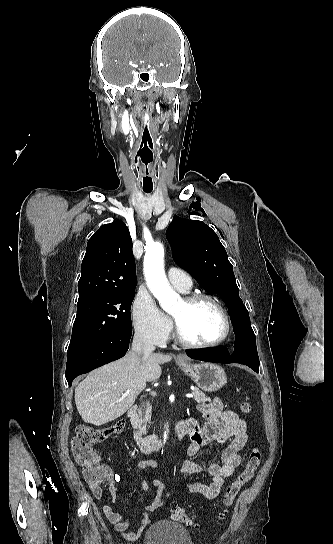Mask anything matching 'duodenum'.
<instances>
[{
	"instance_id": "obj_1",
	"label": "duodenum",
	"mask_w": 333,
	"mask_h": 544,
	"mask_svg": "<svg viewBox=\"0 0 333 544\" xmlns=\"http://www.w3.org/2000/svg\"><path fill=\"white\" fill-rule=\"evenodd\" d=\"M137 411H138L137 405H133L132 407L129 408L127 412V417L130 423L134 425L133 439L138 450L144 454L160 451L161 448H163L164 445L169 441V439H165L157 435H144L139 430H137V428L135 427L136 419H137ZM185 433H186V430L183 425V421H181L176 425L173 431L171 440L177 442L181 440V438L185 435Z\"/></svg>"
}]
</instances>
